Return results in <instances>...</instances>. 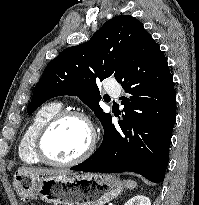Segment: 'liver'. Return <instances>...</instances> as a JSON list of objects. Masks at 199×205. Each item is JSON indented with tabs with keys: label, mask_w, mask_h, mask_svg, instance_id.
Returning a JSON list of instances; mask_svg holds the SVG:
<instances>
[{
	"label": "liver",
	"mask_w": 199,
	"mask_h": 205,
	"mask_svg": "<svg viewBox=\"0 0 199 205\" xmlns=\"http://www.w3.org/2000/svg\"><path fill=\"white\" fill-rule=\"evenodd\" d=\"M18 172H24L30 175H75V173L70 172L69 170L63 169H47V168H28L21 167L18 169Z\"/></svg>",
	"instance_id": "obj_1"
}]
</instances>
